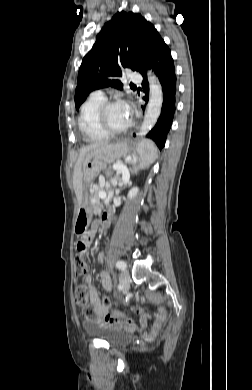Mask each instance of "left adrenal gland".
Segmentation results:
<instances>
[{
  "label": "left adrenal gland",
  "instance_id": "left-adrenal-gland-1",
  "mask_svg": "<svg viewBox=\"0 0 252 390\" xmlns=\"http://www.w3.org/2000/svg\"><path fill=\"white\" fill-rule=\"evenodd\" d=\"M124 185V181L123 180H119V186L122 187Z\"/></svg>",
  "mask_w": 252,
  "mask_h": 390
}]
</instances>
